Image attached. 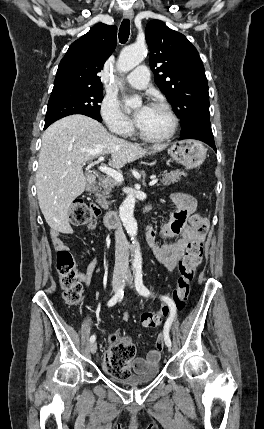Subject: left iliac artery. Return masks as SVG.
<instances>
[{"mask_svg": "<svg viewBox=\"0 0 264 429\" xmlns=\"http://www.w3.org/2000/svg\"><path fill=\"white\" fill-rule=\"evenodd\" d=\"M135 286H136V290L143 296H149L150 295V291L148 290V288L143 284V280H142V270L141 268L136 269V273H135ZM161 299L163 301H165L169 307H170V316L167 319V321L165 322L164 325V340L167 346H171V340L169 337V330L171 327V324L175 318V314H176V309H175V305L173 303V301L166 297V296H162Z\"/></svg>", "mask_w": 264, "mask_h": 429, "instance_id": "44dca946", "label": "left iliac artery"}]
</instances>
